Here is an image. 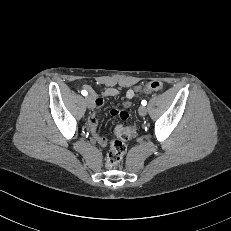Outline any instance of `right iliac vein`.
Segmentation results:
<instances>
[{
	"label": "right iliac vein",
	"instance_id": "1",
	"mask_svg": "<svg viewBox=\"0 0 231 231\" xmlns=\"http://www.w3.org/2000/svg\"><path fill=\"white\" fill-rule=\"evenodd\" d=\"M85 101H86V105H87V107L89 109H93L94 108L95 104H94V100H93V98L91 96H87L85 98Z\"/></svg>",
	"mask_w": 231,
	"mask_h": 231
}]
</instances>
